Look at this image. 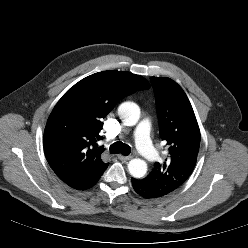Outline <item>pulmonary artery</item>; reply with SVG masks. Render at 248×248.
I'll return each mask as SVG.
<instances>
[{
	"instance_id": "e3ab8cb5",
	"label": "pulmonary artery",
	"mask_w": 248,
	"mask_h": 248,
	"mask_svg": "<svg viewBox=\"0 0 248 248\" xmlns=\"http://www.w3.org/2000/svg\"><path fill=\"white\" fill-rule=\"evenodd\" d=\"M150 123L147 119H143L135 129V142L138 151L149 160H154L158 157L157 151L150 141Z\"/></svg>"
}]
</instances>
